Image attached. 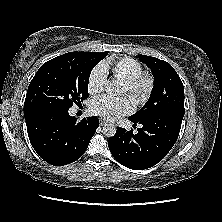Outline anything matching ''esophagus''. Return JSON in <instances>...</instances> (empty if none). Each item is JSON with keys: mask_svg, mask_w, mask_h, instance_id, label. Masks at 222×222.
I'll return each mask as SVG.
<instances>
[{"mask_svg": "<svg viewBox=\"0 0 222 222\" xmlns=\"http://www.w3.org/2000/svg\"><path fill=\"white\" fill-rule=\"evenodd\" d=\"M106 123H107V122H106L105 120H101V121H100V124H101V125H105Z\"/></svg>", "mask_w": 222, "mask_h": 222, "instance_id": "1", "label": "esophagus"}]
</instances>
